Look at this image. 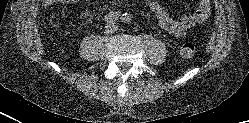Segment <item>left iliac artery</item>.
<instances>
[{
  "label": "left iliac artery",
  "instance_id": "left-iliac-artery-1",
  "mask_svg": "<svg viewBox=\"0 0 249 123\" xmlns=\"http://www.w3.org/2000/svg\"><path fill=\"white\" fill-rule=\"evenodd\" d=\"M131 15L128 14V13H124L122 16H121V20L122 22L124 23H129L131 21Z\"/></svg>",
  "mask_w": 249,
  "mask_h": 123
}]
</instances>
